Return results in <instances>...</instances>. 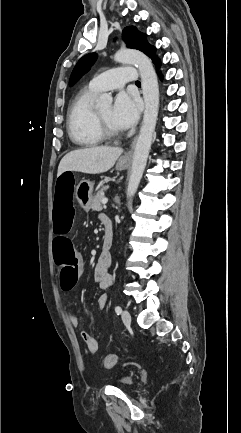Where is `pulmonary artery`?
<instances>
[{
    "label": "pulmonary artery",
    "instance_id": "e3ab8cb5",
    "mask_svg": "<svg viewBox=\"0 0 241 433\" xmlns=\"http://www.w3.org/2000/svg\"><path fill=\"white\" fill-rule=\"evenodd\" d=\"M137 81V69L133 66H120L103 72L92 78L87 84V88L93 92L118 90L126 83Z\"/></svg>",
    "mask_w": 241,
    "mask_h": 433
}]
</instances>
